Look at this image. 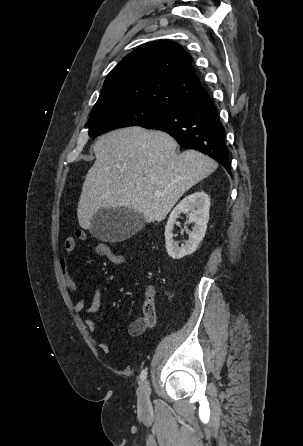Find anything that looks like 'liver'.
<instances>
[{"label":"liver","instance_id":"obj_1","mask_svg":"<svg viewBox=\"0 0 303 446\" xmlns=\"http://www.w3.org/2000/svg\"><path fill=\"white\" fill-rule=\"evenodd\" d=\"M176 148L168 134L141 127L102 135L94 145L96 161L78 202L79 225L90 229L98 210L120 207L141 214L148 223L164 220L189 188L218 167L198 151L178 154Z\"/></svg>","mask_w":303,"mask_h":446}]
</instances>
